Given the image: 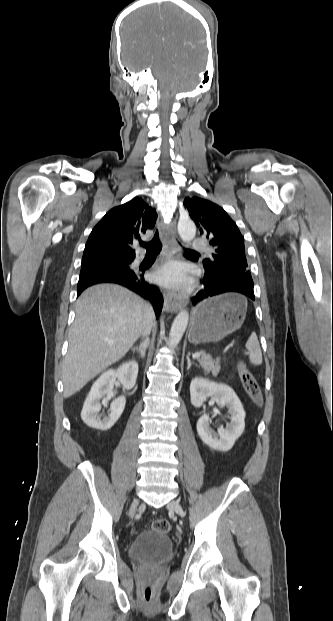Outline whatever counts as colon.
<instances>
[{
	"label": "colon",
	"mask_w": 333,
	"mask_h": 621,
	"mask_svg": "<svg viewBox=\"0 0 333 621\" xmlns=\"http://www.w3.org/2000/svg\"><path fill=\"white\" fill-rule=\"evenodd\" d=\"M239 370L241 381L246 393L255 403L259 404L262 399V393L257 380L242 361L239 362ZM152 530L166 534L170 530V524L166 519H157L152 524ZM142 597L147 603L152 600L153 590L150 584H147L144 587Z\"/></svg>",
	"instance_id": "obj_1"
}]
</instances>
